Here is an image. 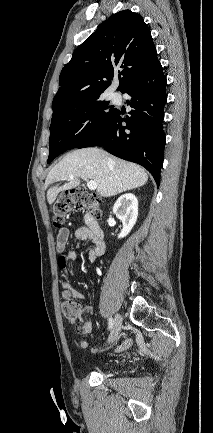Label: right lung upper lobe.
Instances as JSON below:
<instances>
[{
    "label": "right lung upper lobe",
    "instance_id": "1",
    "mask_svg": "<svg viewBox=\"0 0 213 433\" xmlns=\"http://www.w3.org/2000/svg\"><path fill=\"white\" fill-rule=\"evenodd\" d=\"M156 58L150 29L141 15L130 10L112 15L63 67L52 103L53 116L68 106L100 96L117 75V90L121 91Z\"/></svg>",
    "mask_w": 213,
    "mask_h": 433
}]
</instances>
